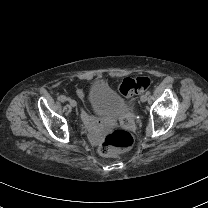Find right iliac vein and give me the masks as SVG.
<instances>
[{
	"label": "right iliac vein",
	"instance_id": "right-iliac-vein-1",
	"mask_svg": "<svg viewBox=\"0 0 208 208\" xmlns=\"http://www.w3.org/2000/svg\"><path fill=\"white\" fill-rule=\"evenodd\" d=\"M70 105H71L72 107H75V106H77V102H76L75 100H72V101L70 102Z\"/></svg>",
	"mask_w": 208,
	"mask_h": 208
}]
</instances>
